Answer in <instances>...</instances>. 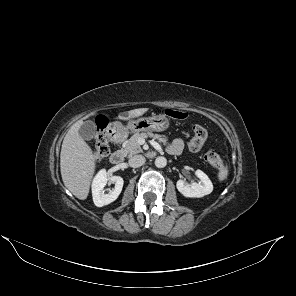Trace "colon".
Returning <instances> with one entry per match:
<instances>
[{
  "label": "colon",
  "instance_id": "5ec220e1",
  "mask_svg": "<svg viewBox=\"0 0 296 296\" xmlns=\"http://www.w3.org/2000/svg\"><path fill=\"white\" fill-rule=\"evenodd\" d=\"M163 113L171 118L177 120H184L187 118L188 114L184 111L175 109H165ZM97 132L95 135V143L93 148V154L96 159H101L109 153V142L105 134V128L107 126V120L104 117H99L96 121ZM207 131L201 125L193 126V137L189 142V148L192 151H199L205 144L207 140ZM204 159L207 163L216 169L223 168V160L220 155L213 151H207L204 155Z\"/></svg>",
  "mask_w": 296,
  "mask_h": 296
}]
</instances>
